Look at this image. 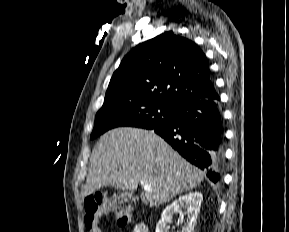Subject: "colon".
Listing matches in <instances>:
<instances>
[{
  "instance_id": "5ec220e1",
  "label": "colon",
  "mask_w": 289,
  "mask_h": 232,
  "mask_svg": "<svg viewBox=\"0 0 289 232\" xmlns=\"http://www.w3.org/2000/svg\"><path fill=\"white\" fill-rule=\"evenodd\" d=\"M102 214L112 215L119 226H125L130 221L129 209L114 206L102 195H91L84 201L83 222L86 232H101L99 217Z\"/></svg>"
}]
</instances>
